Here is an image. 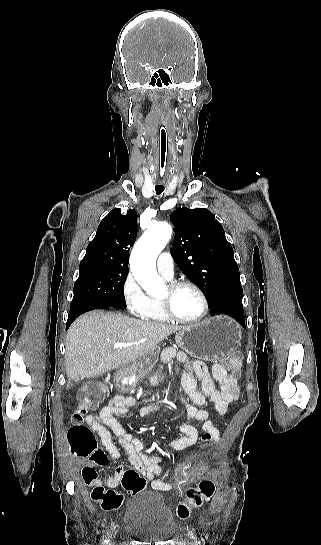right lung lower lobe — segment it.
<instances>
[{
	"label": "right lung lower lobe",
	"mask_w": 321,
	"mask_h": 545,
	"mask_svg": "<svg viewBox=\"0 0 321 545\" xmlns=\"http://www.w3.org/2000/svg\"><path fill=\"white\" fill-rule=\"evenodd\" d=\"M96 308H100V309H102V308H106V309H110V308L125 309L126 308V303L125 304H118L116 306H109V305H81V306H77V307L71 309L70 312H69L66 329H68V327L72 324V322L78 316H80L81 314H83V313H85L87 311H90V310H93V309H96Z\"/></svg>",
	"instance_id": "98d812e1"
}]
</instances>
